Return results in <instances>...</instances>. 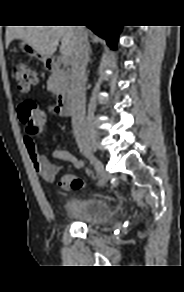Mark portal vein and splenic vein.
I'll return each instance as SVG.
<instances>
[{"mask_svg":"<svg viewBox=\"0 0 184 292\" xmlns=\"http://www.w3.org/2000/svg\"><path fill=\"white\" fill-rule=\"evenodd\" d=\"M61 62L64 64V65H67L68 62H69V59L66 55L62 54L61 56Z\"/></svg>","mask_w":184,"mask_h":292,"instance_id":"1","label":"portal vein and splenic vein"}]
</instances>
